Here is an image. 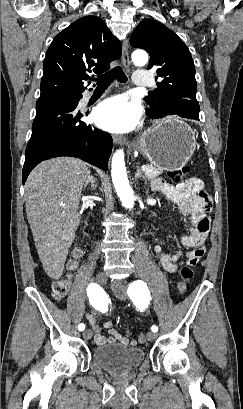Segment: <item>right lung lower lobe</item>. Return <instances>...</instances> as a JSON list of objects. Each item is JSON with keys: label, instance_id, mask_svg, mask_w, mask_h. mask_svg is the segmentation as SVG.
<instances>
[{"label": "right lung lower lobe", "instance_id": "1", "mask_svg": "<svg viewBox=\"0 0 243 409\" xmlns=\"http://www.w3.org/2000/svg\"><path fill=\"white\" fill-rule=\"evenodd\" d=\"M81 98L82 95L37 101L32 135L25 151L23 183L37 164L58 156L77 157L108 169L112 137L80 120L83 114L77 105Z\"/></svg>", "mask_w": 243, "mask_h": 409}]
</instances>
